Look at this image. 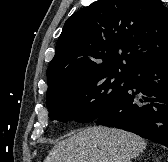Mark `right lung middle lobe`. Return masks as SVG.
I'll use <instances>...</instances> for the list:
<instances>
[{"label":"right lung middle lobe","mask_w":168,"mask_h":162,"mask_svg":"<svg viewBox=\"0 0 168 162\" xmlns=\"http://www.w3.org/2000/svg\"><path fill=\"white\" fill-rule=\"evenodd\" d=\"M129 74L94 73L48 88L46 105L49 118L60 122L97 119L121 92Z\"/></svg>","instance_id":"1"}]
</instances>
